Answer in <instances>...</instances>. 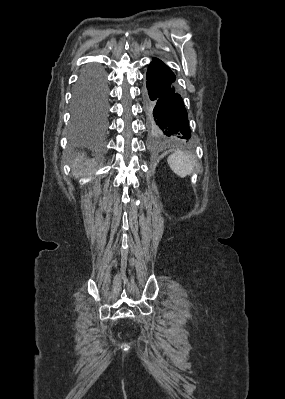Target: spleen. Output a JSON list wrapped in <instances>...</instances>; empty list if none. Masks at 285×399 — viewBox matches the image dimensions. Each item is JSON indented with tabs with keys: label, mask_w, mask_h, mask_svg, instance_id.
Masks as SVG:
<instances>
[{
	"label": "spleen",
	"mask_w": 285,
	"mask_h": 399,
	"mask_svg": "<svg viewBox=\"0 0 285 399\" xmlns=\"http://www.w3.org/2000/svg\"><path fill=\"white\" fill-rule=\"evenodd\" d=\"M167 162L172 171L182 178L190 175L193 171V162L190 156L183 151H175L168 157Z\"/></svg>",
	"instance_id": "1"
}]
</instances>
